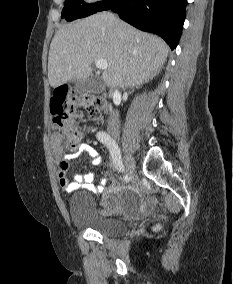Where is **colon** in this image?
I'll use <instances>...</instances> for the list:
<instances>
[{
  "label": "colon",
  "mask_w": 233,
  "mask_h": 284,
  "mask_svg": "<svg viewBox=\"0 0 233 284\" xmlns=\"http://www.w3.org/2000/svg\"><path fill=\"white\" fill-rule=\"evenodd\" d=\"M104 107V102L94 96H79L68 101L65 97L58 95L51 99L50 113L52 121L61 129L68 149L75 150L82 138L81 130L73 118L76 108L84 109L89 117L95 120L99 118ZM62 167L67 169L68 163L63 162Z\"/></svg>",
  "instance_id": "1"
}]
</instances>
